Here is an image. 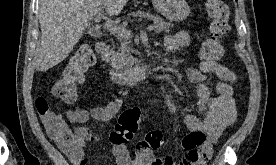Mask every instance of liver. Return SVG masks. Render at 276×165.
Here are the masks:
<instances>
[{"instance_id":"liver-1","label":"liver","mask_w":276,"mask_h":165,"mask_svg":"<svg viewBox=\"0 0 276 165\" xmlns=\"http://www.w3.org/2000/svg\"><path fill=\"white\" fill-rule=\"evenodd\" d=\"M128 0H40L41 41L34 65L47 71L62 62L82 37L99 9L118 15Z\"/></svg>"}]
</instances>
